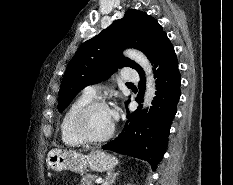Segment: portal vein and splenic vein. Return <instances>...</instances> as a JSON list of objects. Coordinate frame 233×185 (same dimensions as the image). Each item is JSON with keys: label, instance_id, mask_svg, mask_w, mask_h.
<instances>
[{"label": "portal vein and splenic vein", "instance_id": "1", "mask_svg": "<svg viewBox=\"0 0 233 185\" xmlns=\"http://www.w3.org/2000/svg\"><path fill=\"white\" fill-rule=\"evenodd\" d=\"M103 182V179L102 178H97L96 180H95V183H97V184H100V183H102Z\"/></svg>", "mask_w": 233, "mask_h": 185}]
</instances>
